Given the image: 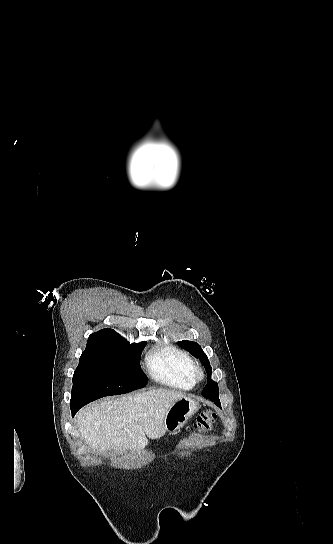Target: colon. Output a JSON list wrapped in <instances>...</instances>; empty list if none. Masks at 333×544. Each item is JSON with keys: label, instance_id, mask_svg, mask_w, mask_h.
<instances>
[{"label": "colon", "instance_id": "colon-1", "mask_svg": "<svg viewBox=\"0 0 333 544\" xmlns=\"http://www.w3.org/2000/svg\"><path fill=\"white\" fill-rule=\"evenodd\" d=\"M217 418V414L212 410H205L200 413L196 420L187 428L188 432L207 431Z\"/></svg>", "mask_w": 333, "mask_h": 544}]
</instances>
